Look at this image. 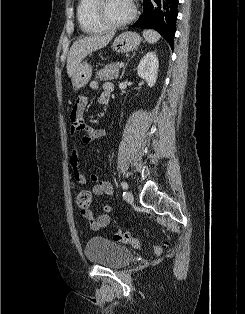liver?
Wrapping results in <instances>:
<instances>
[{
  "label": "liver",
  "instance_id": "1",
  "mask_svg": "<svg viewBox=\"0 0 245 314\" xmlns=\"http://www.w3.org/2000/svg\"><path fill=\"white\" fill-rule=\"evenodd\" d=\"M114 35V32L106 35L93 34L75 41L71 46L67 57L66 68L68 76H73L82 60L93 51H97L105 47Z\"/></svg>",
  "mask_w": 245,
  "mask_h": 314
}]
</instances>
